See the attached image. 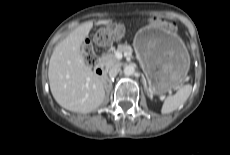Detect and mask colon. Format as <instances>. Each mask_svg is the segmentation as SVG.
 <instances>
[{
    "label": "colon",
    "instance_id": "1",
    "mask_svg": "<svg viewBox=\"0 0 230 155\" xmlns=\"http://www.w3.org/2000/svg\"><path fill=\"white\" fill-rule=\"evenodd\" d=\"M123 34V26L120 23H112L107 25L100 30L94 36V41L98 46H107L111 44L117 37H120ZM91 38L85 37V45L82 48V53L85 61L89 65H93L95 62V54L91 46Z\"/></svg>",
    "mask_w": 230,
    "mask_h": 155
}]
</instances>
